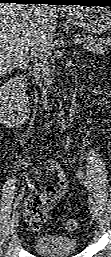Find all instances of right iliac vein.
<instances>
[{
    "label": "right iliac vein",
    "instance_id": "63e3f726",
    "mask_svg": "<svg viewBox=\"0 0 111 257\" xmlns=\"http://www.w3.org/2000/svg\"><path fill=\"white\" fill-rule=\"evenodd\" d=\"M18 222H19V214L15 213L13 216V219L11 221V231L14 232L18 226Z\"/></svg>",
    "mask_w": 111,
    "mask_h": 257
}]
</instances>
